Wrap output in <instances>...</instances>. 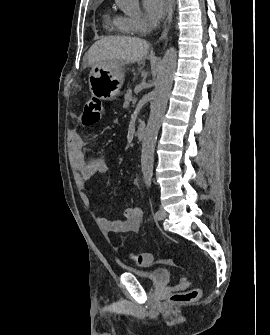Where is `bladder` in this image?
<instances>
[{
	"label": "bladder",
	"mask_w": 270,
	"mask_h": 335,
	"mask_svg": "<svg viewBox=\"0 0 270 335\" xmlns=\"http://www.w3.org/2000/svg\"><path fill=\"white\" fill-rule=\"evenodd\" d=\"M130 272L134 274L138 279H144L148 281L152 287L154 285H167L172 276V270L167 268H155L147 273H142L136 270Z\"/></svg>",
	"instance_id": "31cf9c89"
}]
</instances>
